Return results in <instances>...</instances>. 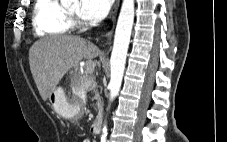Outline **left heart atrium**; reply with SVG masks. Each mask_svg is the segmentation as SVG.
<instances>
[{"label":"left heart atrium","instance_id":"1","mask_svg":"<svg viewBox=\"0 0 227 142\" xmlns=\"http://www.w3.org/2000/svg\"><path fill=\"white\" fill-rule=\"evenodd\" d=\"M113 0H80L79 13L88 20L98 21L106 17Z\"/></svg>","mask_w":227,"mask_h":142}]
</instances>
